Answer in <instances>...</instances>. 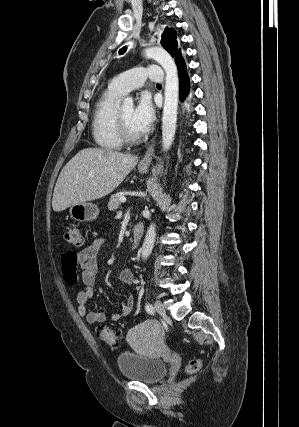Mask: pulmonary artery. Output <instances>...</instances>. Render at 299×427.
Masks as SVG:
<instances>
[{"label": "pulmonary artery", "instance_id": "1", "mask_svg": "<svg viewBox=\"0 0 299 427\" xmlns=\"http://www.w3.org/2000/svg\"><path fill=\"white\" fill-rule=\"evenodd\" d=\"M147 79L155 82L163 81L164 71L162 67L153 65L130 69L115 77L111 82V86L120 93L126 94L143 86Z\"/></svg>", "mask_w": 299, "mask_h": 427}]
</instances>
